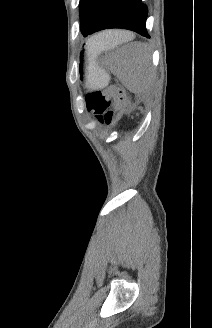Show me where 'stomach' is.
Listing matches in <instances>:
<instances>
[{"instance_id":"obj_1","label":"stomach","mask_w":212,"mask_h":328,"mask_svg":"<svg viewBox=\"0 0 212 328\" xmlns=\"http://www.w3.org/2000/svg\"><path fill=\"white\" fill-rule=\"evenodd\" d=\"M88 61L86 64L85 76L87 87L103 88L107 85L109 76L107 72L95 62V57L92 54H88Z\"/></svg>"}]
</instances>
